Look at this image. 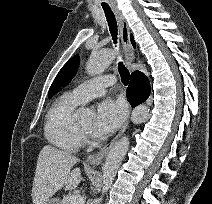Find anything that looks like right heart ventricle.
<instances>
[{"label": "right heart ventricle", "instance_id": "obj_1", "mask_svg": "<svg viewBox=\"0 0 212 204\" xmlns=\"http://www.w3.org/2000/svg\"><path fill=\"white\" fill-rule=\"evenodd\" d=\"M81 103L71 93L61 95L52 105L46 115L44 135L55 147L75 152L82 143L75 111Z\"/></svg>", "mask_w": 212, "mask_h": 204}]
</instances>
